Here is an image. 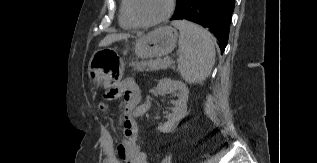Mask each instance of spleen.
Returning a JSON list of instances; mask_svg holds the SVG:
<instances>
[{
    "instance_id": "1",
    "label": "spleen",
    "mask_w": 317,
    "mask_h": 163,
    "mask_svg": "<svg viewBox=\"0 0 317 163\" xmlns=\"http://www.w3.org/2000/svg\"><path fill=\"white\" fill-rule=\"evenodd\" d=\"M172 25L180 31L178 69L181 77L189 84H202L215 62L211 34L186 20L173 21Z\"/></svg>"
}]
</instances>
